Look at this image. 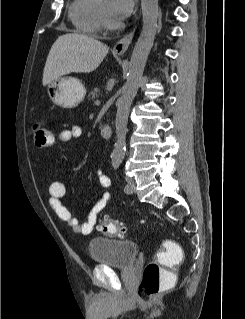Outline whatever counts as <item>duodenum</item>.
I'll use <instances>...</instances> for the list:
<instances>
[{
	"label": "duodenum",
	"instance_id": "obj_1",
	"mask_svg": "<svg viewBox=\"0 0 245 319\" xmlns=\"http://www.w3.org/2000/svg\"><path fill=\"white\" fill-rule=\"evenodd\" d=\"M100 132L104 139H109L112 136V128L109 125H103L100 129Z\"/></svg>",
	"mask_w": 245,
	"mask_h": 319
}]
</instances>
